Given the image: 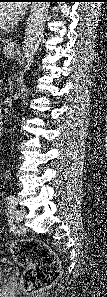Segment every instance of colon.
Instances as JSON below:
<instances>
[{
  "label": "colon",
  "instance_id": "obj_1",
  "mask_svg": "<svg viewBox=\"0 0 107 297\" xmlns=\"http://www.w3.org/2000/svg\"><path fill=\"white\" fill-rule=\"evenodd\" d=\"M12 253L15 261L26 268L22 282L26 294H39L57 279L59 263L44 244L33 240L18 241L13 244Z\"/></svg>",
  "mask_w": 107,
  "mask_h": 297
}]
</instances>
